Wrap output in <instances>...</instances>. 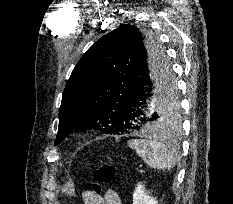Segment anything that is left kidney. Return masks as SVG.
<instances>
[{
    "label": "left kidney",
    "instance_id": "left-kidney-1",
    "mask_svg": "<svg viewBox=\"0 0 233 204\" xmlns=\"http://www.w3.org/2000/svg\"><path fill=\"white\" fill-rule=\"evenodd\" d=\"M158 201L149 196L144 185L138 184L133 194V204H157Z\"/></svg>",
    "mask_w": 233,
    "mask_h": 204
}]
</instances>
